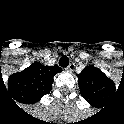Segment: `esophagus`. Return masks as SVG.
Listing matches in <instances>:
<instances>
[{
    "instance_id": "1",
    "label": "esophagus",
    "mask_w": 124,
    "mask_h": 124,
    "mask_svg": "<svg viewBox=\"0 0 124 124\" xmlns=\"http://www.w3.org/2000/svg\"><path fill=\"white\" fill-rule=\"evenodd\" d=\"M74 67H75V64H74V63H70V64L67 66V69L73 70Z\"/></svg>"
}]
</instances>
